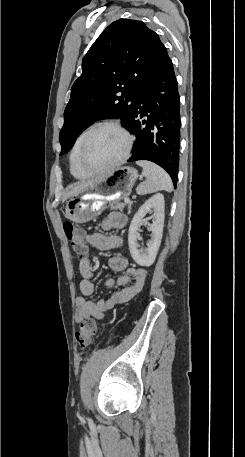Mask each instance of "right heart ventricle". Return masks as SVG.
Returning <instances> with one entry per match:
<instances>
[{"label":"right heart ventricle","mask_w":245,"mask_h":457,"mask_svg":"<svg viewBox=\"0 0 245 457\" xmlns=\"http://www.w3.org/2000/svg\"><path fill=\"white\" fill-rule=\"evenodd\" d=\"M91 128L92 127H88L79 134V136L77 137V139L74 143L71 154H70V171H71L72 175L78 180H84L88 177V175H86L78 165L77 152L84 139V136Z\"/></svg>","instance_id":"right-heart-ventricle-1"}]
</instances>
